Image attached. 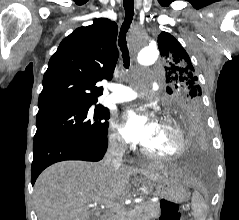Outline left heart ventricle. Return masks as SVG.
Segmentation results:
<instances>
[{"instance_id":"obj_1","label":"left heart ventricle","mask_w":239,"mask_h":220,"mask_svg":"<svg viewBox=\"0 0 239 220\" xmlns=\"http://www.w3.org/2000/svg\"><path fill=\"white\" fill-rule=\"evenodd\" d=\"M143 145L156 153L172 154L177 149L178 139L170 126L157 121L153 124L149 139Z\"/></svg>"}]
</instances>
